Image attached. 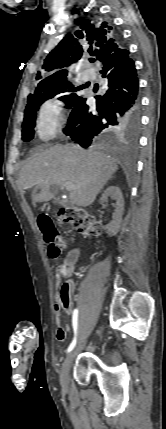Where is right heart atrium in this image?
<instances>
[{
  "label": "right heart atrium",
  "mask_w": 166,
  "mask_h": 429,
  "mask_svg": "<svg viewBox=\"0 0 166 429\" xmlns=\"http://www.w3.org/2000/svg\"><path fill=\"white\" fill-rule=\"evenodd\" d=\"M64 103L58 97L46 100L37 115L36 128L42 139H50L58 133L64 121Z\"/></svg>",
  "instance_id": "d8ad5b80"
}]
</instances>
